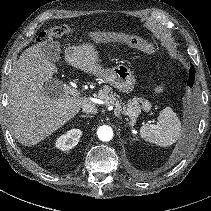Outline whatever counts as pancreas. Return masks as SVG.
Here are the masks:
<instances>
[{
  "label": "pancreas",
  "instance_id": "cf45deb5",
  "mask_svg": "<svg viewBox=\"0 0 211 211\" xmlns=\"http://www.w3.org/2000/svg\"><path fill=\"white\" fill-rule=\"evenodd\" d=\"M99 98L104 100L107 105L114 106V115L117 117H120V114H124L125 116H128L130 119V124L135 123V119L138 117V115L141 112V107L139 105V102H143L140 98H133L132 100H129L128 103L125 105L122 103V101L119 99V95H117L115 92H113L112 88L109 86H104L98 94ZM143 103H148L146 100Z\"/></svg>",
  "mask_w": 211,
  "mask_h": 211
}]
</instances>
